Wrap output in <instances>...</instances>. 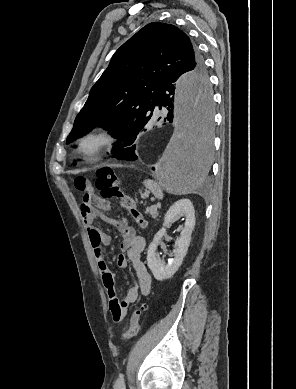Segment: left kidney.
Instances as JSON below:
<instances>
[{
  "instance_id": "1",
  "label": "left kidney",
  "mask_w": 296,
  "mask_h": 389,
  "mask_svg": "<svg viewBox=\"0 0 296 389\" xmlns=\"http://www.w3.org/2000/svg\"><path fill=\"white\" fill-rule=\"evenodd\" d=\"M181 215L185 217L184 227L180 233V237L175 241L173 258L165 264L158 257L157 248L160 240L166 234V227ZM194 226L195 210L189 199H181L169 208L164 218L163 227L155 234L147 251V265L156 280L163 281L169 279L179 269L190 245Z\"/></svg>"
}]
</instances>
